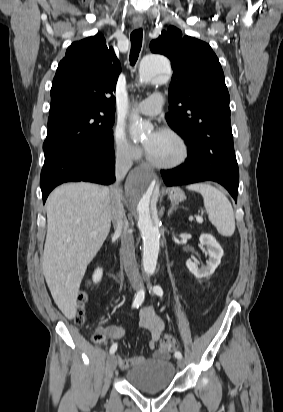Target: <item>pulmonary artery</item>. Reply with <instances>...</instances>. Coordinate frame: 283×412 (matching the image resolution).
<instances>
[{
  "instance_id": "obj_1",
  "label": "pulmonary artery",
  "mask_w": 283,
  "mask_h": 412,
  "mask_svg": "<svg viewBox=\"0 0 283 412\" xmlns=\"http://www.w3.org/2000/svg\"><path fill=\"white\" fill-rule=\"evenodd\" d=\"M163 103L164 97L162 94H153L140 102L137 106V110L143 115L155 116L160 113Z\"/></svg>"
}]
</instances>
